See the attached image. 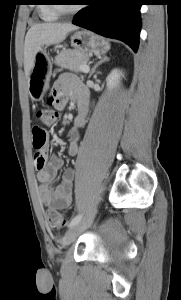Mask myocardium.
<instances>
[{
  "mask_svg": "<svg viewBox=\"0 0 181 300\" xmlns=\"http://www.w3.org/2000/svg\"><path fill=\"white\" fill-rule=\"evenodd\" d=\"M51 5L53 10L58 14V15H69L72 13H75L78 11V8H66L62 3H59L58 0H51Z\"/></svg>",
  "mask_w": 181,
  "mask_h": 300,
  "instance_id": "f54148a6",
  "label": "myocardium"
}]
</instances>
